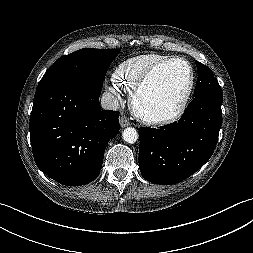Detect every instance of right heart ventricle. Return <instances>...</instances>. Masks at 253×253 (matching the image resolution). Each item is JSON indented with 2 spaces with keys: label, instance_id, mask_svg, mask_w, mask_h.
Returning <instances> with one entry per match:
<instances>
[{
  "label": "right heart ventricle",
  "instance_id": "1",
  "mask_svg": "<svg viewBox=\"0 0 253 253\" xmlns=\"http://www.w3.org/2000/svg\"><path fill=\"white\" fill-rule=\"evenodd\" d=\"M169 58L166 55L148 53L121 62L112 74L114 85L131 94L144 72L153 64Z\"/></svg>",
  "mask_w": 253,
  "mask_h": 253
}]
</instances>
